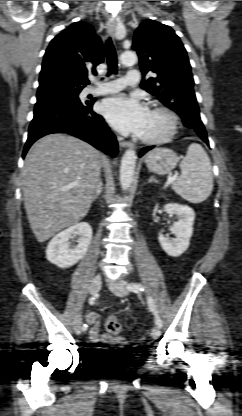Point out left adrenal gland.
I'll list each match as a JSON object with an SVG mask.
<instances>
[{"label":"left adrenal gland","instance_id":"left-adrenal-gland-1","mask_svg":"<svg viewBox=\"0 0 242 416\" xmlns=\"http://www.w3.org/2000/svg\"><path fill=\"white\" fill-rule=\"evenodd\" d=\"M148 182H156L157 183V180L153 176H151L149 178Z\"/></svg>","mask_w":242,"mask_h":416}]
</instances>
